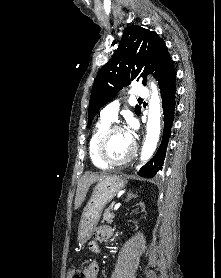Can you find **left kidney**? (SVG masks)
<instances>
[{"label": "left kidney", "instance_id": "left-kidney-1", "mask_svg": "<svg viewBox=\"0 0 221 278\" xmlns=\"http://www.w3.org/2000/svg\"><path fill=\"white\" fill-rule=\"evenodd\" d=\"M139 205L142 206V207H144V203H142V202H140Z\"/></svg>", "mask_w": 221, "mask_h": 278}]
</instances>
